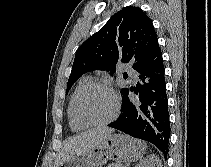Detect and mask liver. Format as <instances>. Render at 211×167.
<instances>
[{
	"instance_id": "6515ba94",
	"label": "liver",
	"mask_w": 211,
	"mask_h": 167,
	"mask_svg": "<svg viewBox=\"0 0 211 167\" xmlns=\"http://www.w3.org/2000/svg\"><path fill=\"white\" fill-rule=\"evenodd\" d=\"M113 131L112 128L97 127L67 139L58 153L54 167L100 146Z\"/></svg>"
}]
</instances>
